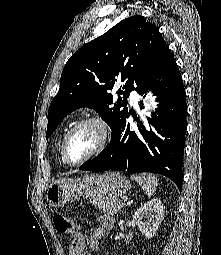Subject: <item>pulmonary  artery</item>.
I'll return each instance as SVG.
<instances>
[{"mask_svg": "<svg viewBox=\"0 0 221 255\" xmlns=\"http://www.w3.org/2000/svg\"><path fill=\"white\" fill-rule=\"evenodd\" d=\"M130 99H131V102H132L134 105H137V100H138L137 92L131 91V93H130Z\"/></svg>", "mask_w": 221, "mask_h": 255, "instance_id": "obj_1", "label": "pulmonary artery"}]
</instances>
